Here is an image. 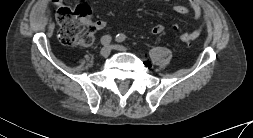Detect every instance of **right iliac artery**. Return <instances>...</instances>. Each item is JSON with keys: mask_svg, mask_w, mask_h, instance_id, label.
Segmentation results:
<instances>
[{"mask_svg": "<svg viewBox=\"0 0 253 138\" xmlns=\"http://www.w3.org/2000/svg\"><path fill=\"white\" fill-rule=\"evenodd\" d=\"M112 41V37L110 35H104L102 38H101V44L102 45H109Z\"/></svg>", "mask_w": 253, "mask_h": 138, "instance_id": "obj_1", "label": "right iliac artery"}]
</instances>
